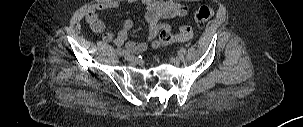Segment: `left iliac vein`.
I'll return each instance as SVG.
<instances>
[{
  "label": "left iliac vein",
  "instance_id": "4c4485c4",
  "mask_svg": "<svg viewBox=\"0 0 303 127\" xmlns=\"http://www.w3.org/2000/svg\"><path fill=\"white\" fill-rule=\"evenodd\" d=\"M175 60H176V62H182V61H184V57L182 55H179L176 57Z\"/></svg>",
  "mask_w": 303,
  "mask_h": 127
}]
</instances>
